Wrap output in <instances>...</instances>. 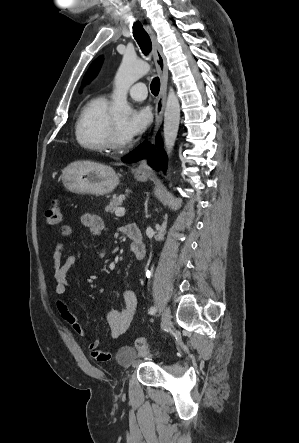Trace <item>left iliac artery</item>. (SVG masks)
<instances>
[{
	"label": "left iliac artery",
	"instance_id": "left-iliac-artery-1",
	"mask_svg": "<svg viewBox=\"0 0 299 443\" xmlns=\"http://www.w3.org/2000/svg\"><path fill=\"white\" fill-rule=\"evenodd\" d=\"M156 311H157V308H156V307H151V308L149 309L148 313L152 315V314H155Z\"/></svg>",
	"mask_w": 299,
	"mask_h": 443
}]
</instances>
